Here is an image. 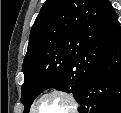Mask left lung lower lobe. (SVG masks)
<instances>
[{
	"label": "left lung lower lobe",
	"mask_w": 121,
	"mask_h": 113,
	"mask_svg": "<svg viewBox=\"0 0 121 113\" xmlns=\"http://www.w3.org/2000/svg\"><path fill=\"white\" fill-rule=\"evenodd\" d=\"M77 101L80 113H121V28Z\"/></svg>",
	"instance_id": "1"
}]
</instances>
